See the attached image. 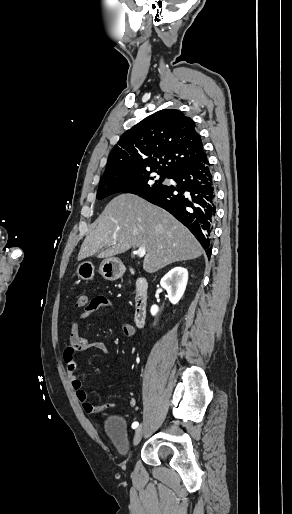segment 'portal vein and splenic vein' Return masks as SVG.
Returning a JSON list of instances; mask_svg holds the SVG:
<instances>
[{
	"instance_id": "18ae733b",
	"label": "portal vein and splenic vein",
	"mask_w": 292,
	"mask_h": 514,
	"mask_svg": "<svg viewBox=\"0 0 292 514\" xmlns=\"http://www.w3.org/2000/svg\"><path fill=\"white\" fill-rule=\"evenodd\" d=\"M115 244V242H114ZM133 254H137V256H139V258H143V256H145L146 254V248H139V250H137V252H133Z\"/></svg>"
}]
</instances>
